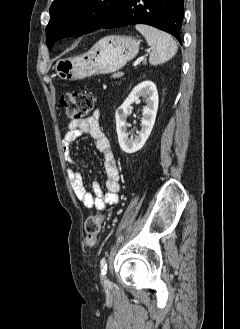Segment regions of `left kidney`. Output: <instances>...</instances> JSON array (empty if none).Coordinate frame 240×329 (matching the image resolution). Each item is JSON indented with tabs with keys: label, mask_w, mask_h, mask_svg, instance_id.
I'll list each match as a JSON object with an SVG mask.
<instances>
[{
	"label": "left kidney",
	"mask_w": 240,
	"mask_h": 329,
	"mask_svg": "<svg viewBox=\"0 0 240 329\" xmlns=\"http://www.w3.org/2000/svg\"><path fill=\"white\" fill-rule=\"evenodd\" d=\"M140 97H145L147 105L143 108L141 130L134 139H129L126 119L129 115L131 104L137 102ZM158 92L152 81H144L133 88L124 103L115 113L116 130L121 149L125 153H135L140 150L147 141L156 119L158 110Z\"/></svg>",
	"instance_id": "5707ae66"
}]
</instances>
